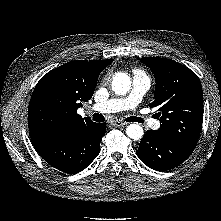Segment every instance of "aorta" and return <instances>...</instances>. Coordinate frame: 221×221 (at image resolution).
<instances>
[{
	"mask_svg": "<svg viewBox=\"0 0 221 221\" xmlns=\"http://www.w3.org/2000/svg\"><path fill=\"white\" fill-rule=\"evenodd\" d=\"M112 89L118 95H125L131 89V79L126 73H117L112 81ZM127 136L133 140L143 137V128L138 124H130L126 129Z\"/></svg>",
	"mask_w": 221,
	"mask_h": 221,
	"instance_id": "1",
	"label": "aorta"
}]
</instances>
